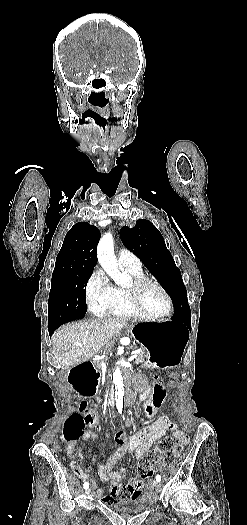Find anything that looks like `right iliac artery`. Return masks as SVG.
I'll list each match as a JSON object with an SVG mask.
<instances>
[{"label": "right iliac artery", "instance_id": "right-iliac-artery-1", "mask_svg": "<svg viewBox=\"0 0 247 525\" xmlns=\"http://www.w3.org/2000/svg\"><path fill=\"white\" fill-rule=\"evenodd\" d=\"M84 489H87L89 487V483L88 482H85L84 485H83Z\"/></svg>", "mask_w": 247, "mask_h": 525}]
</instances>
